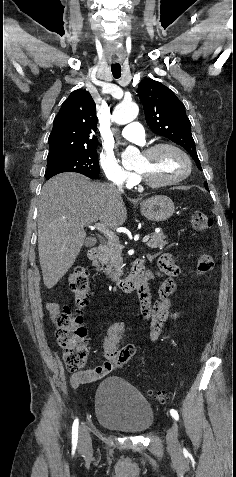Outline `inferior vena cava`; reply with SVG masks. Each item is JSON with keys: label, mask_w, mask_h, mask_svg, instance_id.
Returning <instances> with one entry per match:
<instances>
[{"label": "inferior vena cava", "mask_w": 236, "mask_h": 477, "mask_svg": "<svg viewBox=\"0 0 236 477\" xmlns=\"http://www.w3.org/2000/svg\"><path fill=\"white\" fill-rule=\"evenodd\" d=\"M118 191H119V192H122V191H123L122 185H118Z\"/></svg>", "instance_id": "602c4592"}]
</instances>
